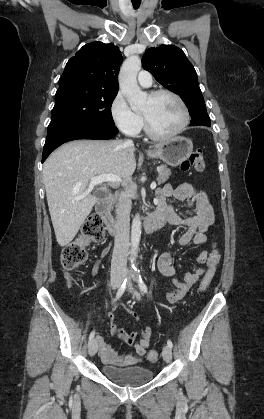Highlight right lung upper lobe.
<instances>
[{"mask_svg":"<svg viewBox=\"0 0 264 419\" xmlns=\"http://www.w3.org/2000/svg\"><path fill=\"white\" fill-rule=\"evenodd\" d=\"M122 60L121 52L112 43L86 44L67 62L59 87L78 84L95 91L118 92Z\"/></svg>","mask_w":264,"mask_h":419,"instance_id":"obj_1","label":"right lung upper lobe"}]
</instances>
